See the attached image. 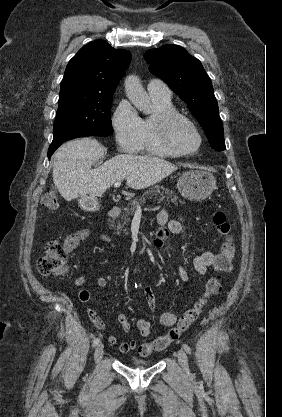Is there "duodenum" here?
<instances>
[{
  "instance_id": "1",
  "label": "duodenum",
  "mask_w": 282,
  "mask_h": 417,
  "mask_svg": "<svg viewBox=\"0 0 282 417\" xmlns=\"http://www.w3.org/2000/svg\"><path fill=\"white\" fill-rule=\"evenodd\" d=\"M120 212H121V208L119 206H113L110 208L108 212V216L110 218H116L119 216Z\"/></svg>"
}]
</instances>
